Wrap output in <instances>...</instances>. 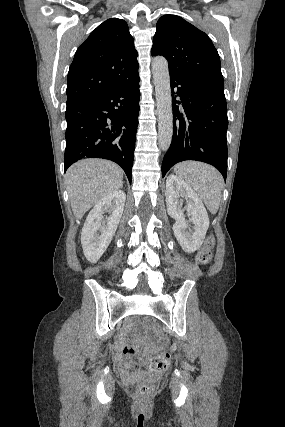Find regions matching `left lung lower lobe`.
<instances>
[{"label": "left lung lower lobe", "mask_w": 285, "mask_h": 427, "mask_svg": "<svg viewBox=\"0 0 285 427\" xmlns=\"http://www.w3.org/2000/svg\"><path fill=\"white\" fill-rule=\"evenodd\" d=\"M170 81L173 136L162 162V177L176 163L196 160L213 165L226 179L228 118L224 90L173 76Z\"/></svg>", "instance_id": "obj_1"}]
</instances>
